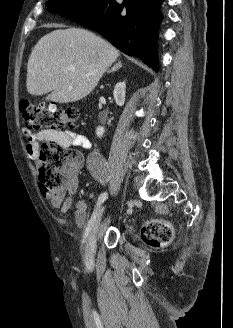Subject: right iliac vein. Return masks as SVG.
I'll list each match as a JSON object with an SVG mask.
<instances>
[{"instance_id":"obj_1","label":"right iliac vein","mask_w":233,"mask_h":328,"mask_svg":"<svg viewBox=\"0 0 233 328\" xmlns=\"http://www.w3.org/2000/svg\"><path fill=\"white\" fill-rule=\"evenodd\" d=\"M105 208H106V206L103 205L98 210L95 221L93 223V226H92V229L90 232V235H89V238H88V241H87V245L85 247V260H86V263L89 265H91L94 261L100 222H101Z\"/></svg>"}]
</instances>
